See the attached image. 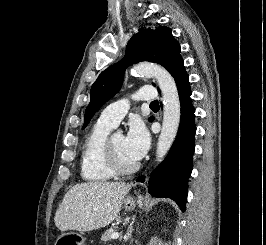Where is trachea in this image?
Masks as SVG:
<instances>
[{
  "instance_id": "trachea-1",
  "label": "trachea",
  "mask_w": 266,
  "mask_h": 245,
  "mask_svg": "<svg viewBox=\"0 0 266 245\" xmlns=\"http://www.w3.org/2000/svg\"><path fill=\"white\" fill-rule=\"evenodd\" d=\"M158 104H159L158 100H154L153 102H151L150 105H158Z\"/></svg>"
}]
</instances>
